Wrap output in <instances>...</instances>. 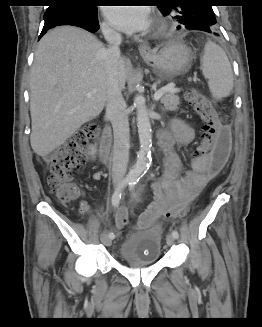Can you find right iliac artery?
<instances>
[{"label": "right iliac artery", "instance_id": "1", "mask_svg": "<svg viewBox=\"0 0 262 327\" xmlns=\"http://www.w3.org/2000/svg\"><path fill=\"white\" fill-rule=\"evenodd\" d=\"M134 178L130 177V176H127L125 177L120 183L119 185L117 186V188L115 189L113 195H112V199H111V202H112V205L114 207H118L119 204H120V200H121V197H122V191L123 189L129 185L132 181H133ZM111 239H114L115 238V235L113 232H110L109 235H108Z\"/></svg>", "mask_w": 262, "mask_h": 327}]
</instances>
